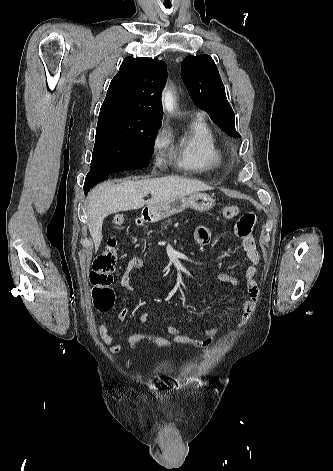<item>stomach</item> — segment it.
<instances>
[{"mask_svg":"<svg viewBox=\"0 0 333 471\" xmlns=\"http://www.w3.org/2000/svg\"><path fill=\"white\" fill-rule=\"evenodd\" d=\"M215 206V200L205 193H193L169 201L147 206V220L156 222L168 216L178 214L187 208L205 212Z\"/></svg>","mask_w":333,"mask_h":471,"instance_id":"obj_1","label":"stomach"}]
</instances>
